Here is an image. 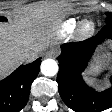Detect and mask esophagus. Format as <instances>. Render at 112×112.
I'll return each mask as SVG.
<instances>
[{"mask_svg":"<svg viewBox=\"0 0 112 112\" xmlns=\"http://www.w3.org/2000/svg\"><path fill=\"white\" fill-rule=\"evenodd\" d=\"M57 50L56 49H50V50H48L47 52H46V57H52V58H54V57H56L57 56Z\"/></svg>","mask_w":112,"mask_h":112,"instance_id":"esophagus-1","label":"esophagus"}]
</instances>
